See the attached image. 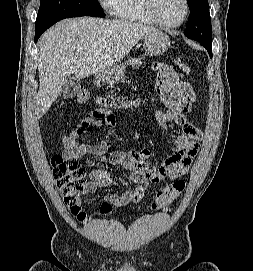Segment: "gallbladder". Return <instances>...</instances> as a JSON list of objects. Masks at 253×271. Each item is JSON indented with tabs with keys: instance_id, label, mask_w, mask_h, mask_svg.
<instances>
[{
	"instance_id": "bac80fb5",
	"label": "gallbladder",
	"mask_w": 253,
	"mask_h": 271,
	"mask_svg": "<svg viewBox=\"0 0 253 271\" xmlns=\"http://www.w3.org/2000/svg\"><path fill=\"white\" fill-rule=\"evenodd\" d=\"M79 88H80V79L75 76H71L65 80L60 91V97L62 99L73 98L78 93Z\"/></svg>"
}]
</instances>
